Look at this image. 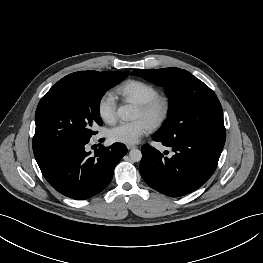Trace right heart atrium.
<instances>
[{
    "label": "right heart atrium",
    "mask_w": 263,
    "mask_h": 263,
    "mask_svg": "<svg viewBox=\"0 0 263 263\" xmlns=\"http://www.w3.org/2000/svg\"><path fill=\"white\" fill-rule=\"evenodd\" d=\"M97 110L100 118L106 123H113L117 119V105L112 93H104L98 100Z\"/></svg>",
    "instance_id": "obj_1"
}]
</instances>
